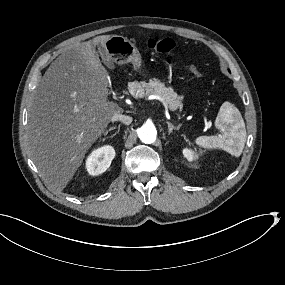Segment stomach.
<instances>
[{
    "label": "stomach",
    "mask_w": 285,
    "mask_h": 285,
    "mask_svg": "<svg viewBox=\"0 0 285 285\" xmlns=\"http://www.w3.org/2000/svg\"><path fill=\"white\" fill-rule=\"evenodd\" d=\"M104 50L110 60L117 64L131 62L137 68L141 65V56L137 47L126 37L112 35L106 40Z\"/></svg>",
    "instance_id": "stomach-1"
}]
</instances>
